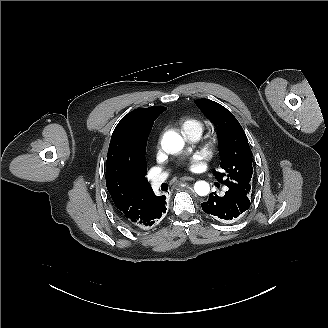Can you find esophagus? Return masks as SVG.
<instances>
[{
  "label": "esophagus",
  "mask_w": 328,
  "mask_h": 328,
  "mask_svg": "<svg viewBox=\"0 0 328 328\" xmlns=\"http://www.w3.org/2000/svg\"><path fill=\"white\" fill-rule=\"evenodd\" d=\"M193 180H194V178L189 177V176H185V177L180 178V181H193Z\"/></svg>",
  "instance_id": "34e87169"
}]
</instances>
